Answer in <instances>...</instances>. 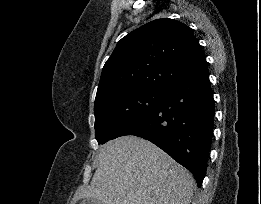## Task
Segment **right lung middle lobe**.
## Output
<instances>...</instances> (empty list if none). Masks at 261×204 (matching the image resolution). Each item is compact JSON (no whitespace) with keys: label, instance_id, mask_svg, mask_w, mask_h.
<instances>
[{"label":"right lung middle lobe","instance_id":"obj_1","mask_svg":"<svg viewBox=\"0 0 261 204\" xmlns=\"http://www.w3.org/2000/svg\"><path fill=\"white\" fill-rule=\"evenodd\" d=\"M163 95L164 91L129 89L112 92L97 101L94 113L98 144L119 137L157 105Z\"/></svg>","mask_w":261,"mask_h":204}]
</instances>
